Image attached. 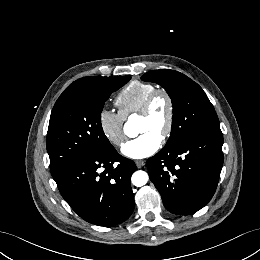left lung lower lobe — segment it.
Instances as JSON below:
<instances>
[{
    "mask_svg": "<svg viewBox=\"0 0 260 260\" xmlns=\"http://www.w3.org/2000/svg\"><path fill=\"white\" fill-rule=\"evenodd\" d=\"M222 144L221 130L204 131L147 160L150 180L168 211L188 215L210 201L223 165Z\"/></svg>",
    "mask_w": 260,
    "mask_h": 260,
    "instance_id": "0a47b994",
    "label": "left lung lower lobe"
}]
</instances>
